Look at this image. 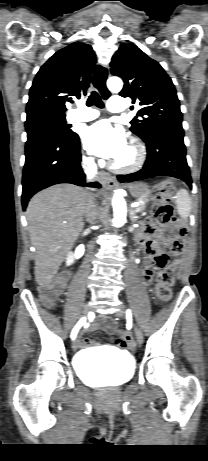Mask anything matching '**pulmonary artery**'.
Here are the masks:
<instances>
[{
  "label": "pulmonary artery",
  "instance_id": "pulmonary-artery-1",
  "mask_svg": "<svg viewBox=\"0 0 208 461\" xmlns=\"http://www.w3.org/2000/svg\"><path fill=\"white\" fill-rule=\"evenodd\" d=\"M108 109L110 112L119 113L125 109L124 98L122 97H111L108 102ZM98 112L91 109L83 107L79 112H74L69 116V121L71 122H87L91 121L98 117Z\"/></svg>",
  "mask_w": 208,
  "mask_h": 461
}]
</instances>
